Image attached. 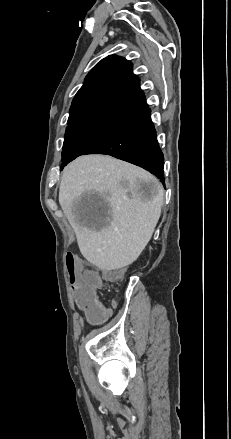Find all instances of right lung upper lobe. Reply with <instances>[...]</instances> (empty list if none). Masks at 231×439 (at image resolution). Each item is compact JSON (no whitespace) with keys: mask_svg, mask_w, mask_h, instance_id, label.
<instances>
[{"mask_svg":"<svg viewBox=\"0 0 231 439\" xmlns=\"http://www.w3.org/2000/svg\"><path fill=\"white\" fill-rule=\"evenodd\" d=\"M132 68L131 62L117 55L102 59L74 97L69 117L99 114L126 119L147 105Z\"/></svg>","mask_w":231,"mask_h":439,"instance_id":"cb5924a9","label":"right lung upper lobe"}]
</instances>
